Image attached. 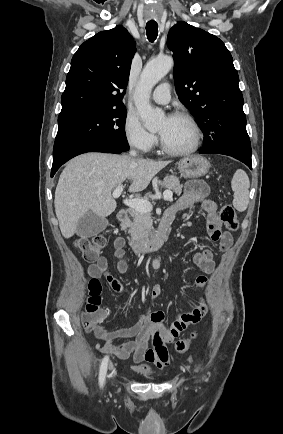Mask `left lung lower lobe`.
Masks as SVG:
<instances>
[{"mask_svg": "<svg viewBox=\"0 0 283 434\" xmlns=\"http://www.w3.org/2000/svg\"><path fill=\"white\" fill-rule=\"evenodd\" d=\"M200 153H209V152L202 149L200 151ZM238 160H240L241 162H243L244 164H246L250 169H252L251 157L250 158L249 157L239 158Z\"/></svg>", "mask_w": 283, "mask_h": 434, "instance_id": "0a47b994", "label": "left lung lower lobe"}]
</instances>
